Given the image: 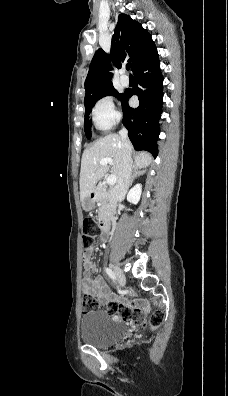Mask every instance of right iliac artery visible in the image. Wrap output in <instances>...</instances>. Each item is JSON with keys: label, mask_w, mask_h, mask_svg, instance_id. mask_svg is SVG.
<instances>
[{"label": "right iliac artery", "mask_w": 228, "mask_h": 396, "mask_svg": "<svg viewBox=\"0 0 228 396\" xmlns=\"http://www.w3.org/2000/svg\"><path fill=\"white\" fill-rule=\"evenodd\" d=\"M105 271L107 273V275L113 279L114 281L116 280V276L115 273L110 269V268H105Z\"/></svg>", "instance_id": "right-iliac-artery-1"}]
</instances>
